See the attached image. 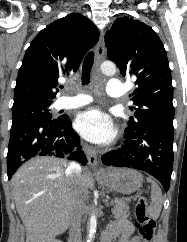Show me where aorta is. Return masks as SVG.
Here are the masks:
<instances>
[{"instance_id":"obj_1","label":"aorta","mask_w":187,"mask_h":242,"mask_svg":"<svg viewBox=\"0 0 187 242\" xmlns=\"http://www.w3.org/2000/svg\"><path fill=\"white\" fill-rule=\"evenodd\" d=\"M101 72L107 76H112L116 72V66L113 62L105 61L101 64ZM96 225H97V220L95 215H92L90 218V229H89V234H88V239L87 242H92L93 237L96 232Z\"/></svg>"}]
</instances>
